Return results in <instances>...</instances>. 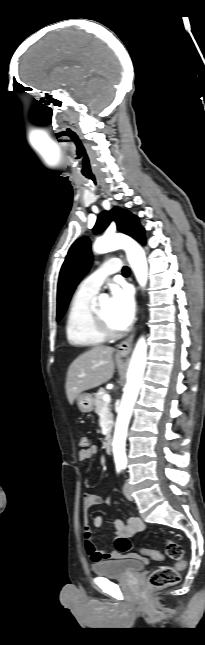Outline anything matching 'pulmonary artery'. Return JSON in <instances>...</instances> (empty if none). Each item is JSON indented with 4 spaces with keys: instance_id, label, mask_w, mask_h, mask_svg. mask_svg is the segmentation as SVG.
<instances>
[{
    "instance_id": "obj_1",
    "label": "pulmonary artery",
    "mask_w": 205,
    "mask_h": 645,
    "mask_svg": "<svg viewBox=\"0 0 205 645\" xmlns=\"http://www.w3.org/2000/svg\"><path fill=\"white\" fill-rule=\"evenodd\" d=\"M121 268V261L117 258H111L105 261L95 272L81 282L78 290L85 293L96 294L107 277L119 272Z\"/></svg>"
}]
</instances>
